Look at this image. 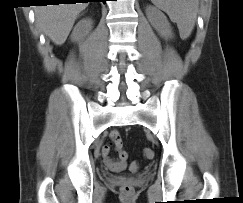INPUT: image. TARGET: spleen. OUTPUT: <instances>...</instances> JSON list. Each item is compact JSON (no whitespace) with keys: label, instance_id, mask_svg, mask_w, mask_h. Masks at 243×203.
<instances>
[{"label":"spleen","instance_id":"1","mask_svg":"<svg viewBox=\"0 0 243 203\" xmlns=\"http://www.w3.org/2000/svg\"><path fill=\"white\" fill-rule=\"evenodd\" d=\"M177 24L181 39H187L195 26L199 0H151Z\"/></svg>","mask_w":243,"mask_h":203}]
</instances>
